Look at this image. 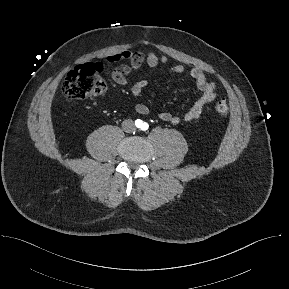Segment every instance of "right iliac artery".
<instances>
[{
	"mask_svg": "<svg viewBox=\"0 0 289 289\" xmlns=\"http://www.w3.org/2000/svg\"><path fill=\"white\" fill-rule=\"evenodd\" d=\"M135 125H136L137 127H140V126L142 125V121H141L140 119L136 120V121H135Z\"/></svg>",
	"mask_w": 289,
	"mask_h": 289,
	"instance_id": "82829eb1",
	"label": "right iliac artery"
}]
</instances>
